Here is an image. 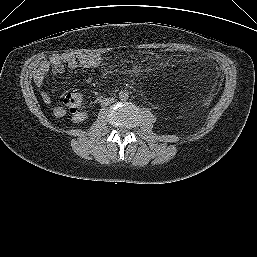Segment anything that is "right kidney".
<instances>
[{"label": "right kidney", "mask_w": 257, "mask_h": 257, "mask_svg": "<svg viewBox=\"0 0 257 257\" xmlns=\"http://www.w3.org/2000/svg\"><path fill=\"white\" fill-rule=\"evenodd\" d=\"M87 118V114L85 112L77 113L72 117V121L74 123H79L84 121Z\"/></svg>", "instance_id": "obj_1"}]
</instances>
